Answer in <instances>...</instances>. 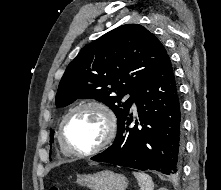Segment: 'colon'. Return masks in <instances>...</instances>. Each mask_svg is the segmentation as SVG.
I'll return each instance as SVG.
<instances>
[{
  "mask_svg": "<svg viewBox=\"0 0 221 190\" xmlns=\"http://www.w3.org/2000/svg\"><path fill=\"white\" fill-rule=\"evenodd\" d=\"M49 190H60V187L57 184L52 185Z\"/></svg>",
  "mask_w": 221,
  "mask_h": 190,
  "instance_id": "1",
  "label": "colon"
}]
</instances>
